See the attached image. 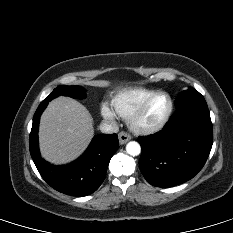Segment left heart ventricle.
Listing matches in <instances>:
<instances>
[{
	"instance_id": "1",
	"label": "left heart ventricle",
	"mask_w": 233,
	"mask_h": 233,
	"mask_svg": "<svg viewBox=\"0 0 233 233\" xmlns=\"http://www.w3.org/2000/svg\"><path fill=\"white\" fill-rule=\"evenodd\" d=\"M168 107V98L164 95L157 96L147 106L139 119V123L146 127L157 124L166 114Z\"/></svg>"
}]
</instances>
